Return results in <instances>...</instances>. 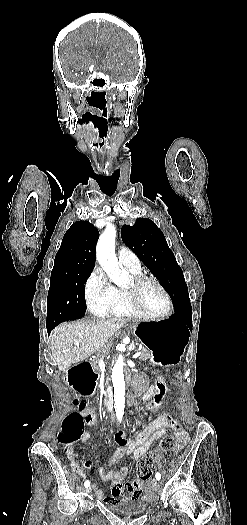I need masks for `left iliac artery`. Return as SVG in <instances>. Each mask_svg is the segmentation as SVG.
<instances>
[{"mask_svg": "<svg viewBox=\"0 0 247 525\" xmlns=\"http://www.w3.org/2000/svg\"><path fill=\"white\" fill-rule=\"evenodd\" d=\"M155 477H156L157 480H160L161 479V474L159 472H156Z\"/></svg>", "mask_w": 247, "mask_h": 525, "instance_id": "1", "label": "left iliac artery"}]
</instances>
